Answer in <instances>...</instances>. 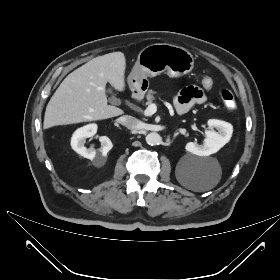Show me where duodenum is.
Segmentation results:
<instances>
[{
	"mask_svg": "<svg viewBox=\"0 0 280 280\" xmlns=\"http://www.w3.org/2000/svg\"><path fill=\"white\" fill-rule=\"evenodd\" d=\"M143 97V90L141 89L140 86H137L134 90H133V94H132V98L135 101H139L141 100Z\"/></svg>",
	"mask_w": 280,
	"mask_h": 280,
	"instance_id": "410a0bca",
	"label": "duodenum"
}]
</instances>
